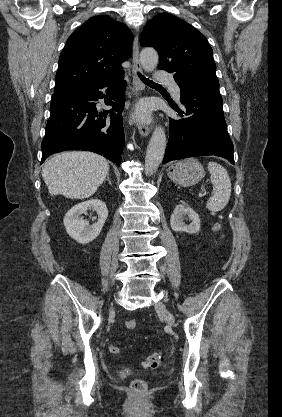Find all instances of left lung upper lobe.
<instances>
[{
  "instance_id": "5c2ea615",
  "label": "left lung upper lobe",
  "mask_w": 282,
  "mask_h": 417,
  "mask_svg": "<svg viewBox=\"0 0 282 417\" xmlns=\"http://www.w3.org/2000/svg\"><path fill=\"white\" fill-rule=\"evenodd\" d=\"M140 44L158 51V68L174 73L177 84L194 78L218 82L213 51L205 36L172 14L161 13L150 20L141 33Z\"/></svg>"
}]
</instances>
